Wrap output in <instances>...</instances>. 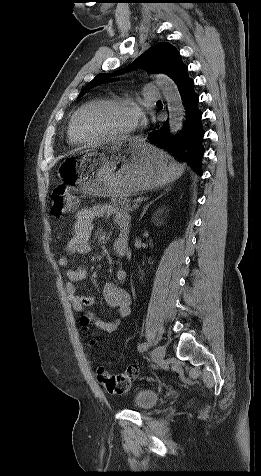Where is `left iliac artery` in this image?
<instances>
[{
  "label": "left iliac artery",
  "instance_id": "44dca946",
  "mask_svg": "<svg viewBox=\"0 0 261 476\" xmlns=\"http://www.w3.org/2000/svg\"><path fill=\"white\" fill-rule=\"evenodd\" d=\"M148 347H149V344L145 342V343H142L138 346V350L139 351H145Z\"/></svg>",
  "mask_w": 261,
  "mask_h": 476
}]
</instances>
